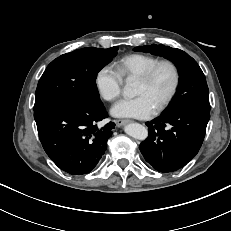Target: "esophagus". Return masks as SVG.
Wrapping results in <instances>:
<instances>
[{"label":"esophagus","instance_id":"esophagus-1","mask_svg":"<svg viewBox=\"0 0 231 231\" xmlns=\"http://www.w3.org/2000/svg\"><path fill=\"white\" fill-rule=\"evenodd\" d=\"M115 122H116L117 127H121V126H123V125H125L127 123H130L131 120H128V119H118Z\"/></svg>","mask_w":231,"mask_h":231}]
</instances>
